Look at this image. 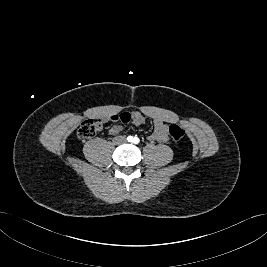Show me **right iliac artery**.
<instances>
[{"mask_svg":"<svg viewBox=\"0 0 267 267\" xmlns=\"http://www.w3.org/2000/svg\"><path fill=\"white\" fill-rule=\"evenodd\" d=\"M127 140H128L129 142H132V141H133V137H132V136H128V137H127Z\"/></svg>","mask_w":267,"mask_h":267,"instance_id":"obj_1","label":"right iliac artery"}]
</instances>
